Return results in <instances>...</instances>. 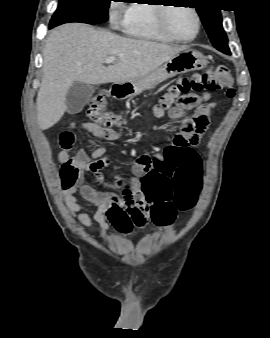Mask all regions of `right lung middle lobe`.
Masks as SVG:
<instances>
[{"label":"right lung middle lobe","instance_id":"dd1d6c3e","mask_svg":"<svg viewBox=\"0 0 270 338\" xmlns=\"http://www.w3.org/2000/svg\"><path fill=\"white\" fill-rule=\"evenodd\" d=\"M111 0H59L50 28L68 22L98 24L108 20Z\"/></svg>","mask_w":270,"mask_h":338}]
</instances>
